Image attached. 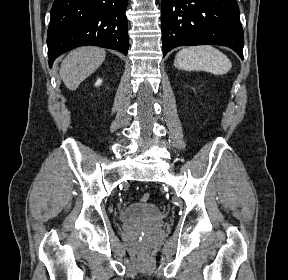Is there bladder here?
Here are the masks:
<instances>
[{
    "label": "bladder",
    "mask_w": 288,
    "mask_h": 280,
    "mask_svg": "<svg viewBox=\"0 0 288 280\" xmlns=\"http://www.w3.org/2000/svg\"><path fill=\"white\" fill-rule=\"evenodd\" d=\"M119 218L130 226L151 228L162 221L163 213L152 204L132 203L120 212Z\"/></svg>",
    "instance_id": "31cf9c89"
}]
</instances>
